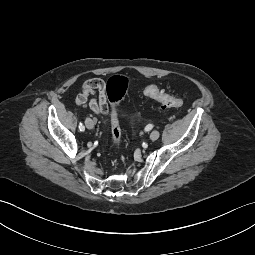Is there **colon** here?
Returning <instances> with one entry per match:
<instances>
[{"label":"colon","mask_w":255,"mask_h":255,"mask_svg":"<svg viewBox=\"0 0 255 255\" xmlns=\"http://www.w3.org/2000/svg\"><path fill=\"white\" fill-rule=\"evenodd\" d=\"M129 81L121 75L112 76L106 85V91L110 101L114 104V110L111 116V134L115 146L118 148L121 144V129L118 119L116 106L125 95ZM144 94L151 99L158 101L165 108H178L183 106L184 100L164 93L156 85H148L144 88Z\"/></svg>","instance_id":"obj_1"}]
</instances>
